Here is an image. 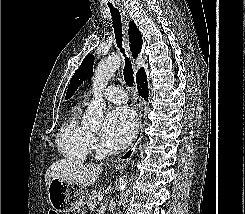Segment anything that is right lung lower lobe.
<instances>
[{"instance_id":"obj_1","label":"right lung lower lobe","mask_w":245,"mask_h":214,"mask_svg":"<svg viewBox=\"0 0 245 214\" xmlns=\"http://www.w3.org/2000/svg\"><path fill=\"white\" fill-rule=\"evenodd\" d=\"M137 80V88L138 92L141 95V97L144 98V100L147 101L148 98V87H147V80H146V74H142Z\"/></svg>"}]
</instances>
